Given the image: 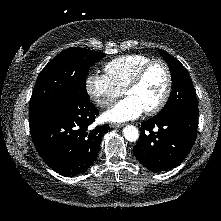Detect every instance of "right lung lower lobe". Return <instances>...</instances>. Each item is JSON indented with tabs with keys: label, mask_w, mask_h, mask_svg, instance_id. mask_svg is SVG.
I'll return each instance as SVG.
<instances>
[{
	"label": "right lung lower lobe",
	"mask_w": 221,
	"mask_h": 221,
	"mask_svg": "<svg viewBox=\"0 0 221 221\" xmlns=\"http://www.w3.org/2000/svg\"><path fill=\"white\" fill-rule=\"evenodd\" d=\"M98 110L87 103L60 102L33 120L30 131L41 158L54 171L72 176L84 173L98 156L109 125L91 128Z\"/></svg>",
	"instance_id": "1"
}]
</instances>
